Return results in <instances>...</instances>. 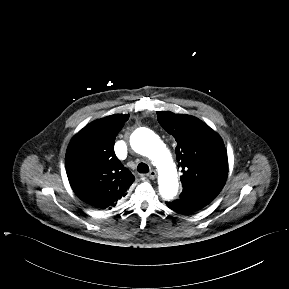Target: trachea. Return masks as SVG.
<instances>
[{"instance_id": "1", "label": "trachea", "mask_w": 289, "mask_h": 289, "mask_svg": "<svg viewBox=\"0 0 289 289\" xmlns=\"http://www.w3.org/2000/svg\"><path fill=\"white\" fill-rule=\"evenodd\" d=\"M137 170L139 173H148L149 172V166L145 163H139L137 166Z\"/></svg>"}]
</instances>
